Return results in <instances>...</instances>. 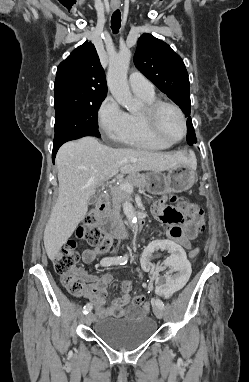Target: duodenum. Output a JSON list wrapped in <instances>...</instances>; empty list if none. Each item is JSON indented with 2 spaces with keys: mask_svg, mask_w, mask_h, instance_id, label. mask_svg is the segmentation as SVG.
<instances>
[{
  "mask_svg": "<svg viewBox=\"0 0 249 382\" xmlns=\"http://www.w3.org/2000/svg\"><path fill=\"white\" fill-rule=\"evenodd\" d=\"M107 208V196L105 194H100L97 199L96 210L98 216L101 217L102 230L106 237L112 239L119 237L126 238L143 228L144 218L142 216L138 215L136 222L132 226H127L106 216Z\"/></svg>",
  "mask_w": 249,
  "mask_h": 382,
  "instance_id": "410a0bca",
  "label": "duodenum"
}]
</instances>
